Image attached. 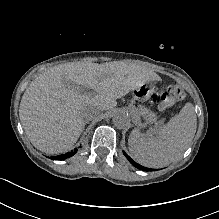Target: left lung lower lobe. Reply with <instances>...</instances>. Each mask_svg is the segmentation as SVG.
I'll return each mask as SVG.
<instances>
[{
    "label": "left lung lower lobe",
    "instance_id": "left-lung-lower-lobe-1",
    "mask_svg": "<svg viewBox=\"0 0 219 219\" xmlns=\"http://www.w3.org/2000/svg\"><path fill=\"white\" fill-rule=\"evenodd\" d=\"M124 155L126 156V158L130 161V163H132L136 168L140 169V170H144V171H148L151 169L145 168L142 165L136 163L135 161H133L125 152H123Z\"/></svg>",
    "mask_w": 219,
    "mask_h": 219
}]
</instances>
